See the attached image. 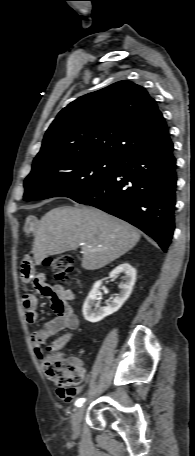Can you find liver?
Returning a JSON list of instances; mask_svg holds the SVG:
<instances>
[{"label":"liver","mask_w":195,"mask_h":456,"mask_svg":"<svg viewBox=\"0 0 195 456\" xmlns=\"http://www.w3.org/2000/svg\"><path fill=\"white\" fill-rule=\"evenodd\" d=\"M140 240V232L129 223L99 209L87 206L57 207L39 221L33 245L36 265L52 255L76 250L81 243V265L100 269Z\"/></svg>","instance_id":"6515ba94"}]
</instances>
